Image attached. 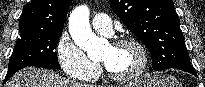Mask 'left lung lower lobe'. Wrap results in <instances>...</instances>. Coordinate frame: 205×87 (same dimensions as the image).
I'll return each mask as SVG.
<instances>
[{"instance_id":"0a47b994","label":"left lung lower lobe","mask_w":205,"mask_h":87,"mask_svg":"<svg viewBox=\"0 0 205 87\" xmlns=\"http://www.w3.org/2000/svg\"><path fill=\"white\" fill-rule=\"evenodd\" d=\"M174 69H179L188 73H191L195 76H197V73L194 69V67L191 64H180V65H176L173 67Z\"/></svg>"}]
</instances>
